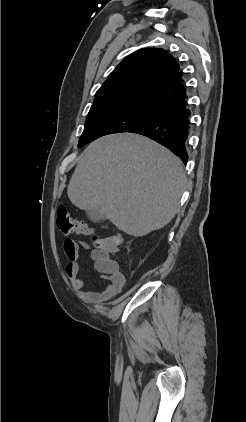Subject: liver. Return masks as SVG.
I'll return each mask as SVG.
<instances>
[{"label":"liver","instance_id":"obj_1","mask_svg":"<svg viewBox=\"0 0 246 422\" xmlns=\"http://www.w3.org/2000/svg\"><path fill=\"white\" fill-rule=\"evenodd\" d=\"M186 182L181 160L168 149L119 133L88 145L67 194L79 209L100 210L119 230L143 237L175 217Z\"/></svg>","mask_w":246,"mask_h":422}]
</instances>
